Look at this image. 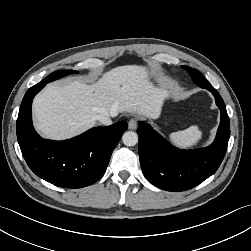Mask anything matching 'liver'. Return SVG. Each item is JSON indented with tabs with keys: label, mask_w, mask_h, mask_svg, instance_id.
<instances>
[{
	"label": "liver",
	"mask_w": 251,
	"mask_h": 251,
	"mask_svg": "<svg viewBox=\"0 0 251 251\" xmlns=\"http://www.w3.org/2000/svg\"><path fill=\"white\" fill-rule=\"evenodd\" d=\"M168 85L157 87L146 67L125 65L95 83L49 84L33 101L35 126L44 137L66 139L95 126L97 116L135 112L157 116L169 96Z\"/></svg>",
	"instance_id": "liver-1"
}]
</instances>
